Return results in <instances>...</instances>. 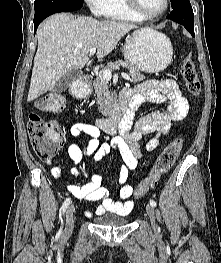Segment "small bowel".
<instances>
[{
  "instance_id": "c3829d8e",
  "label": "small bowel",
  "mask_w": 221,
  "mask_h": 263,
  "mask_svg": "<svg viewBox=\"0 0 221 263\" xmlns=\"http://www.w3.org/2000/svg\"><path fill=\"white\" fill-rule=\"evenodd\" d=\"M131 101L138 106L144 102H154L164 106V110H156L143 115L135 124L132 122L126 128H121L119 134L112 137L109 142L100 141V129L92 124L74 123L70 128V135L74 138L85 134L90 137L87 142L72 141L67 152L73 164L77 166L86 155H93L96 163L100 162L106 155L114 153L120 162L118 182L121 185L119 200H113L108 190L103 186L102 176L94 173L90 181L84 185L69 184L68 191L77 199L89 202H100L96 214L105 212L117 215H127L134 208L132 199L133 187L127 184V179L138 165V159L142 155L141 140L150 136L146 145L147 151H153L159 144L162 135L170 133L174 124L183 120L189 112V104L182 95L177 83L172 79L147 80L137 84L134 89H125ZM51 165V161H46ZM72 172L76 175L79 171L76 167ZM51 175L55 179L63 176V169L52 166ZM86 216L91 217L93 213L86 211Z\"/></svg>"
}]
</instances>
